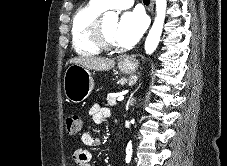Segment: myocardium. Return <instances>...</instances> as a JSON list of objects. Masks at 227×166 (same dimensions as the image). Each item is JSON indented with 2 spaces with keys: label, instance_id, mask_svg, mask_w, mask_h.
<instances>
[{
  "label": "myocardium",
  "instance_id": "f54148a6",
  "mask_svg": "<svg viewBox=\"0 0 227 166\" xmlns=\"http://www.w3.org/2000/svg\"><path fill=\"white\" fill-rule=\"evenodd\" d=\"M103 22L104 17L99 16L92 24L90 31L92 40L101 50H114L117 45L105 37Z\"/></svg>",
  "mask_w": 227,
  "mask_h": 166
}]
</instances>
